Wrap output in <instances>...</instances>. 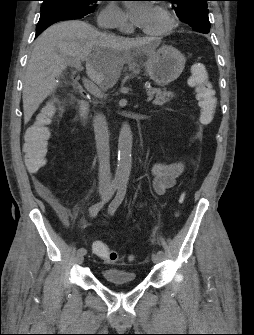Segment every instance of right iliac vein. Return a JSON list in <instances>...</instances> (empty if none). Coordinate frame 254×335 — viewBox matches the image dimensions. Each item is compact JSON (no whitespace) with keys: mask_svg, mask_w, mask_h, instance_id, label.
<instances>
[{"mask_svg":"<svg viewBox=\"0 0 254 335\" xmlns=\"http://www.w3.org/2000/svg\"><path fill=\"white\" fill-rule=\"evenodd\" d=\"M106 195H107V192L102 193V197L105 198ZM75 261H76L77 264H82L83 261H84V255L77 253L76 256H75Z\"/></svg>","mask_w":254,"mask_h":335,"instance_id":"1","label":"right iliac vein"}]
</instances>
